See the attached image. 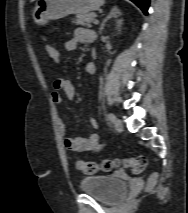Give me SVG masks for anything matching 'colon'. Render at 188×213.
<instances>
[{
  "instance_id": "obj_1",
  "label": "colon",
  "mask_w": 188,
  "mask_h": 213,
  "mask_svg": "<svg viewBox=\"0 0 188 213\" xmlns=\"http://www.w3.org/2000/svg\"><path fill=\"white\" fill-rule=\"evenodd\" d=\"M46 51L52 59L59 57V51L50 44L46 45ZM147 164L144 156L129 157L124 159H104L100 162L81 161L77 164L79 170L85 174H96L100 171L109 172L116 167H124L130 169L134 173H141Z\"/></svg>"
}]
</instances>
